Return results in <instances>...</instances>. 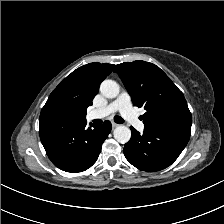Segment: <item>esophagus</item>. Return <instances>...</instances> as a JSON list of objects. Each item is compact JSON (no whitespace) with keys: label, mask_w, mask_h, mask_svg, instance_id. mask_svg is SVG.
Segmentation results:
<instances>
[{"label":"esophagus","mask_w":224,"mask_h":224,"mask_svg":"<svg viewBox=\"0 0 224 224\" xmlns=\"http://www.w3.org/2000/svg\"><path fill=\"white\" fill-rule=\"evenodd\" d=\"M117 126H118V124H117V123L112 122V127H113V128H115V127H117Z\"/></svg>","instance_id":"34e87169"}]
</instances>
